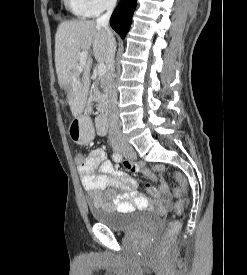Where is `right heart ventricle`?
Masks as SVG:
<instances>
[{
	"instance_id": "e07e8e85",
	"label": "right heart ventricle",
	"mask_w": 247,
	"mask_h": 275,
	"mask_svg": "<svg viewBox=\"0 0 247 275\" xmlns=\"http://www.w3.org/2000/svg\"><path fill=\"white\" fill-rule=\"evenodd\" d=\"M63 3L66 9L69 10L74 16L80 18L90 17L82 0H63Z\"/></svg>"
}]
</instances>
